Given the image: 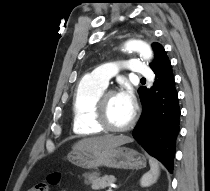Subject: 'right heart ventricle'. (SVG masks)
Masks as SVG:
<instances>
[{"mask_svg": "<svg viewBox=\"0 0 210 191\" xmlns=\"http://www.w3.org/2000/svg\"><path fill=\"white\" fill-rule=\"evenodd\" d=\"M106 86L83 78L73 97V132L79 136H92L103 132L94 121V106Z\"/></svg>", "mask_w": 210, "mask_h": 191, "instance_id": "right-heart-ventricle-1", "label": "right heart ventricle"}]
</instances>
